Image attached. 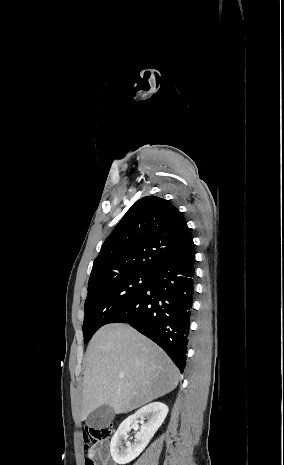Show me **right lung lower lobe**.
Returning <instances> with one entry per match:
<instances>
[{
    "label": "right lung lower lobe",
    "instance_id": "1",
    "mask_svg": "<svg viewBox=\"0 0 284 465\" xmlns=\"http://www.w3.org/2000/svg\"><path fill=\"white\" fill-rule=\"evenodd\" d=\"M192 243L152 274L145 288L108 323H129L185 368L195 288Z\"/></svg>",
    "mask_w": 284,
    "mask_h": 465
}]
</instances>
